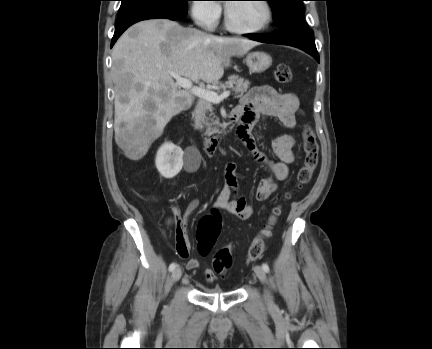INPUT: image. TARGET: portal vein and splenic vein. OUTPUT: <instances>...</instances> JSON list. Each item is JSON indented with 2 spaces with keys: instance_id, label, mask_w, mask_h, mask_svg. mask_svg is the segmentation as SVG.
<instances>
[{
  "instance_id": "obj_1",
  "label": "portal vein and splenic vein",
  "mask_w": 432,
  "mask_h": 349,
  "mask_svg": "<svg viewBox=\"0 0 432 349\" xmlns=\"http://www.w3.org/2000/svg\"><path fill=\"white\" fill-rule=\"evenodd\" d=\"M170 75L176 80V84L178 86L187 90H191L194 95L210 102L220 103L223 99L227 98L230 95V90H225L222 94L218 95L216 92L207 90L203 87L193 86L192 82L189 79L182 77L175 72H170Z\"/></svg>"
}]
</instances>
